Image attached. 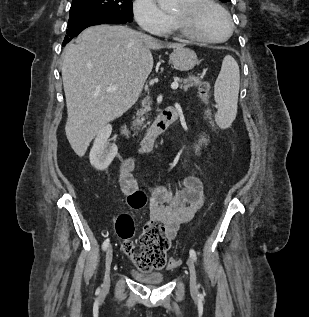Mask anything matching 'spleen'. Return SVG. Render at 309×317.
Instances as JSON below:
<instances>
[{
    "label": "spleen",
    "instance_id": "3e777b00",
    "mask_svg": "<svg viewBox=\"0 0 309 317\" xmlns=\"http://www.w3.org/2000/svg\"><path fill=\"white\" fill-rule=\"evenodd\" d=\"M239 86V66L232 56L227 55L214 86V97L218 104L215 119L222 128L229 127L236 117Z\"/></svg>",
    "mask_w": 309,
    "mask_h": 317
}]
</instances>
